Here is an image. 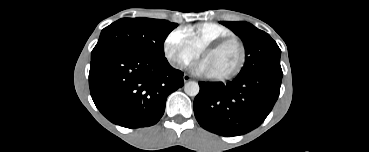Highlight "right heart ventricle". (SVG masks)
Segmentation results:
<instances>
[{"instance_id":"1","label":"right heart ventricle","mask_w":369,"mask_h":152,"mask_svg":"<svg viewBox=\"0 0 369 152\" xmlns=\"http://www.w3.org/2000/svg\"><path fill=\"white\" fill-rule=\"evenodd\" d=\"M190 45L199 53L206 44L227 36H232L231 30L215 23L201 22L182 28Z\"/></svg>"}]
</instances>
